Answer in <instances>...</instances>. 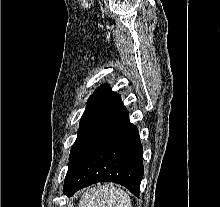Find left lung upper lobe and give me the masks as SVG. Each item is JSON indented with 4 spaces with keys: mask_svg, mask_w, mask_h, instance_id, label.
<instances>
[{
    "mask_svg": "<svg viewBox=\"0 0 220 207\" xmlns=\"http://www.w3.org/2000/svg\"><path fill=\"white\" fill-rule=\"evenodd\" d=\"M110 91L108 85H102L99 87L93 95L90 96L86 110L84 111L80 124L84 121V119L90 114V112L96 107V105L103 99V97Z\"/></svg>",
    "mask_w": 220,
    "mask_h": 207,
    "instance_id": "left-lung-upper-lobe-1",
    "label": "left lung upper lobe"
}]
</instances>
